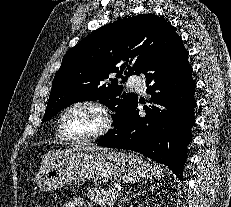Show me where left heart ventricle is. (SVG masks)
I'll return each instance as SVG.
<instances>
[{"label":"left heart ventricle","instance_id":"b2bd125f","mask_svg":"<svg viewBox=\"0 0 231 207\" xmlns=\"http://www.w3.org/2000/svg\"><path fill=\"white\" fill-rule=\"evenodd\" d=\"M65 125L71 136L84 137L101 127L102 117L95 108L81 105L73 108L67 114Z\"/></svg>","mask_w":231,"mask_h":207}]
</instances>
